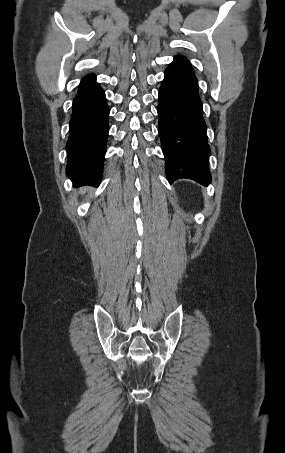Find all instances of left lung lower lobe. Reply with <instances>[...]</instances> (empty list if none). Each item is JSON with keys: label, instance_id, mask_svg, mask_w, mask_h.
Instances as JSON below:
<instances>
[{"label": "left lung lower lobe", "instance_id": "1", "mask_svg": "<svg viewBox=\"0 0 285 453\" xmlns=\"http://www.w3.org/2000/svg\"><path fill=\"white\" fill-rule=\"evenodd\" d=\"M158 117L169 182L188 178L203 185L210 183V147L198 82L190 62L183 57H175L165 70Z\"/></svg>", "mask_w": 285, "mask_h": 453}]
</instances>
